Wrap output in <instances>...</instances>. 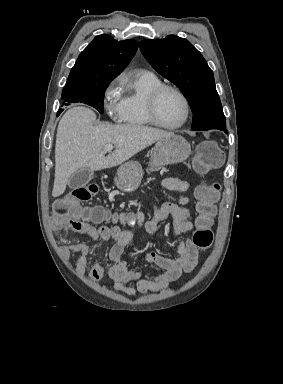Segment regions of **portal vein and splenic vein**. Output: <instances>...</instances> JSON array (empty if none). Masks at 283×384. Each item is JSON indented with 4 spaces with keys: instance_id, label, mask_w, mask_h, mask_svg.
Instances as JSON below:
<instances>
[{
    "instance_id": "obj_1",
    "label": "portal vein and splenic vein",
    "mask_w": 283,
    "mask_h": 384,
    "mask_svg": "<svg viewBox=\"0 0 283 384\" xmlns=\"http://www.w3.org/2000/svg\"><path fill=\"white\" fill-rule=\"evenodd\" d=\"M113 150V144H106L104 152H111Z\"/></svg>"
}]
</instances>
